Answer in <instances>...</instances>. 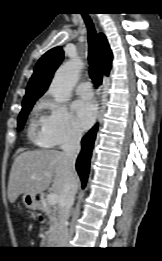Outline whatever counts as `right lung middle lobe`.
I'll return each mask as SVG.
<instances>
[{
  "instance_id": "right-lung-middle-lobe-1",
  "label": "right lung middle lobe",
  "mask_w": 162,
  "mask_h": 261,
  "mask_svg": "<svg viewBox=\"0 0 162 261\" xmlns=\"http://www.w3.org/2000/svg\"><path fill=\"white\" fill-rule=\"evenodd\" d=\"M37 99L38 98L23 101L22 110L18 117V127H17L18 130H21L23 128L26 118Z\"/></svg>"
}]
</instances>
